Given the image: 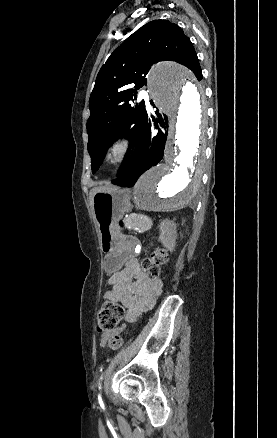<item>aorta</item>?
I'll use <instances>...</instances> for the list:
<instances>
[{
  "label": "aorta",
  "instance_id": "762f6f07",
  "mask_svg": "<svg viewBox=\"0 0 277 438\" xmlns=\"http://www.w3.org/2000/svg\"><path fill=\"white\" fill-rule=\"evenodd\" d=\"M156 106L170 124L164 160L137 182L136 203L146 211H172L195 195L204 170L205 107L192 74L170 62L158 63L148 75Z\"/></svg>",
  "mask_w": 277,
  "mask_h": 438
}]
</instances>
